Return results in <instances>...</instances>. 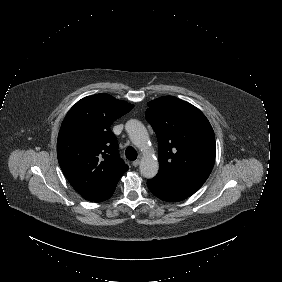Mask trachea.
Listing matches in <instances>:
<instances>
[{
	"label": "trachea",
	"instance_id": "3493384b",
	"mask_svg": "<svg viewBox=\"0 0 282 282\" xmlns=\"http://www.w3.org/2000/svg\"><path fill=\"white\" fill-rule=\"evenodd\" d=\"M125 155L129 160H136L137 151L133 147L129 146L125 150Z\"/></svg>",
	"mask_w": 282,
	"mask_h": 282
}]
</instances>
